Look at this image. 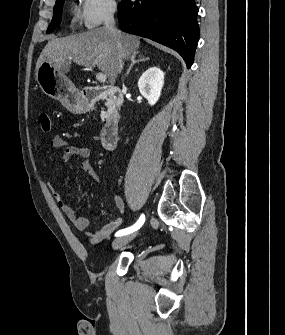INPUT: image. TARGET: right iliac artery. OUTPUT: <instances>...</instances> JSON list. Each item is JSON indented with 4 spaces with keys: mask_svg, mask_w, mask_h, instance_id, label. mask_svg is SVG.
<instances>
[{
    "mask_svg": "<svg viewBox=\"0 0 285 335\" xmlns=\"http://www.w3.org/2000/svg\"><path fill=\"white\" fill-rule=\"evenodd\" d=\"M144 222H145V215L142 214L138 219V221L133 226L119 230L118 232H116L115 236L118 237L133 233L134 231L138 230L144 224Z\"/></svg>",
    "mask_w": 285,
    "mask_h": 335,
    "instance_id": "82829eb1",
    "label": "right iliac artery"
}]
</instances>
